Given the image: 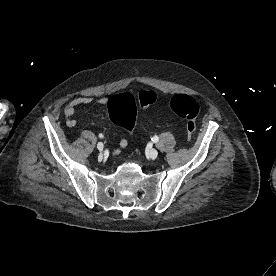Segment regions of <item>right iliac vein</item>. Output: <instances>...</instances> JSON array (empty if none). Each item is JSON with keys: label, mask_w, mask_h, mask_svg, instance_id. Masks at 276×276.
Listing matches in <instances>:
<instances>
[{"label": "right iliac vein", "mask_w": 276, "mask_h": 276, "mask_svg": "<svg viewBox=\"0 0 276 276\" xmlns=\"http://www.w3.org/2000/svg\"><path fill=\"white\" fill-rule=\"evenodd\" d=\"M97 148H98L99 151H102L103 148H104L103 143L102 142H98L97 143Z\"/></svg>", "instance_id": "obj_1"}]
</instances>
